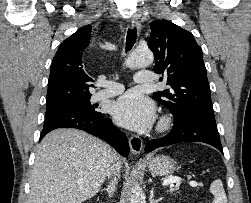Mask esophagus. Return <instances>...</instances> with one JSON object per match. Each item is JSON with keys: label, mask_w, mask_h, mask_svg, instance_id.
<instances>
[{"label": "esophagus", "mask_w": 251, "mask_h": 203, "mask_svg": "<svg viewBox=\"0 0 251 203\" xmlns=\"http://www.w3.org/2000/svg\"><path fill=\"white\" fill-rule=\"evenodd\" d=\"M131 26L132 28H140V22L138 21L137 18H133L131 21ZM129 145H130V150L133 155H138L143 147V142L142 139L138 136L132 135L129 138Z\"/></svg>", "instance_id": "1"}]
</instances>
